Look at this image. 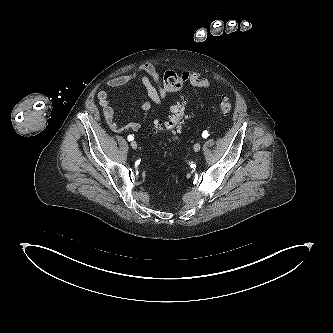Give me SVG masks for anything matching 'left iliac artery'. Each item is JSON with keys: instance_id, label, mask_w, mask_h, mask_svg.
Segmentation results:
<instances>
[{"instance_id": "obj_1", "label": "left iliac artery", "mask_w": 333, "mask_h": 333, "mask_svg": "<svg viewBox=\"0 0 333 333\" xmlns=\"http://www.w3.org/2000/svg\"><path fill=\"white\" fill-rule=\"evenodd\" d=\"M208 136H209V133L206 130L203 131L202 137L206 139Z\"/></svg>"}]
</instances>
